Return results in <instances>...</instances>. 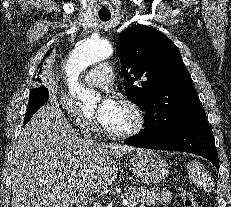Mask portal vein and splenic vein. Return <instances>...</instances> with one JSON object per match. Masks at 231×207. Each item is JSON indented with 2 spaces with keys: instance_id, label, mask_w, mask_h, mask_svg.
Returning <instances> with one entry per match:
<instances>
[{
  "instance_id": "1",
  "label": "portal vein and splenic vein",
  "mask_w": 231,
  "mask_h": 207,
  "mask_svg": "<svg viewBox=\"0 0 231 207\" xmlns=\"http://www.w3.org/2000/svg\"><path fill=\"white\" fill-rule=\"evenodd\" d=\"M123 206H125V207H132V205L129 203V201H127V200H124L123 201ZM97 207H99V206H97Z\"/></svg>"
}]
</instances>
